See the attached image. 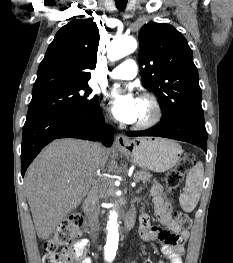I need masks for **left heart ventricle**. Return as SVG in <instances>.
Here are the masks:
<instances>
[{"instance_id": "b2bd125f", "label": "left heart ventricle", "mask_w": 233, "mask_h": 263, "mask_svg": "<svg viewBox=\"0 0 233 263\" xmlns=\"http://www.w3.org/2000/svg\"><path fill=\"white\" fill-rule=\"evenodd\" d=\"M150 112V106L145 101L141 100L140 114L137 121L146 118Z\"/></svg>"}]
</instances>
